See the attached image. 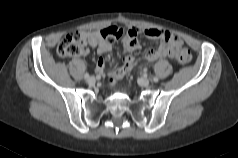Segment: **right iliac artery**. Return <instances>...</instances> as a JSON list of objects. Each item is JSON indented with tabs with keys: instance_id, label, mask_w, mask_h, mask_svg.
Segmentation results:
<instances>
[{
	"instance_id": "82829eb1",
	"label": "right iliac artery",
	"mask_w": 238,
	"mask_h": 158,
	"mask_svg": "<svg viewBox=\"0 0 238 158\" xmlns=\"http://www.w3.org/2000/svg\"><path fill=\"white\" fill-rule=\"evenodd\" d=\"M84 77H85V78H88V77H89V74H88V73H85V74H84Z\"/></svg>"
}]
</instances>
